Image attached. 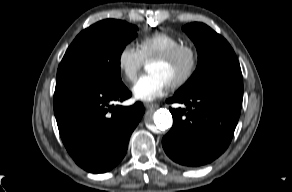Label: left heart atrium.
<instances>
[{
    "label": "left heart atrium",
    "instance_id": "left-heart-atrium-1",
    "mask_svg": "<svg viewBox=\"0 0 292 192\" xmlns=\"http://www.w3.org/2000/svg\"><path fill=\"white\" fill-rule=\"evenodd\" d=\"M168 87L169 83L160 74L148 72L136 81L132 91L136 99L152 101L162 96Z\"/></svg>",
    "mask_w": 292,
    "mask_h": 192
}]
</instances>
